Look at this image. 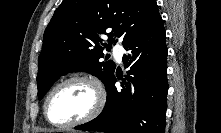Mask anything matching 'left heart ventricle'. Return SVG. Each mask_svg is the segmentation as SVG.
<instances>
[{"instance_id": "1", "label": "left heart ventricle", "mask_w": 221, "mask_h": 133, "mask_svg": "<svg viewBox=\"0 0 221 133\" xmlns=\"http://www.w3.org/2000/svg\"><path fill=\"white\" fill-rule=\"evenodd\" d=\"M94 101V91L89 84L71 82L61 86L51 96L48 116L55 123H67L86 115Z\"/></svg>"}]
</instances>
